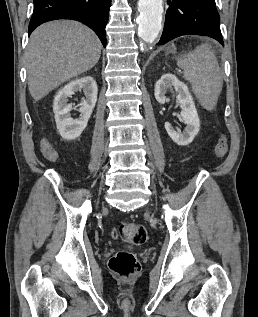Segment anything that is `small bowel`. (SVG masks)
Returning a JSON list of instances; mask_svg holds the SVG:
<instances>
[{"label":"small bowel","mask_w":258,"mask_h":317,"mask_svg":"<svg viewBox=\"0 0 258 317\" xmlns=\"http://www.w3.org/2000/svg\"><path fill=\"white\" fill-rule=\"evenodd\" d=\"M40 150L42 152V154L44 155V157L46 159H48V155H57L56 150L54 149L53 145L51 144V142L47 139H42L40 141Z\"/></svg>","instance_id":"obj_1"}]
</instances>
